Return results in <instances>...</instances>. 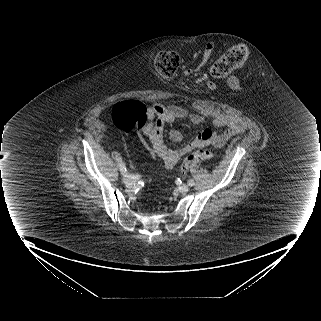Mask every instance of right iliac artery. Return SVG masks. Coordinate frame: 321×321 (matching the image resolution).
I'll list each match as a JSON object with an SVG mask.
<instances>
[{"instance_id": "82829eb1", "label": "right iliac artery", "mask_w": 321, "mask_h": 321, "mask_svg": "<svg viewBox=\"0 0 321 321\" xmlns=\"http://www.w3.org/2000/svg\"><path fill=\"white\" fill-rule=\"evenodd\" d=\"M120 171H121V173L124 175V176H129L128 174H127V169H126V167H125V164L121 161L120 162ZM129 177H131V176H129Z\"/></svg>"}]
</instances>
